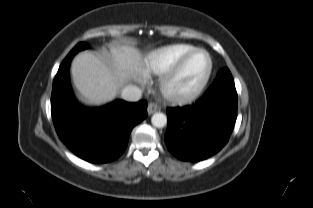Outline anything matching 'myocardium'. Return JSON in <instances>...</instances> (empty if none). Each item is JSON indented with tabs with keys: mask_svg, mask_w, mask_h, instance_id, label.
<instances>
[{
	"mask_svg": "<svg viewBox=\"0 0 313 208\" xmlns=\"http://www.w3.org/2000/svg\"><path fill=\"white\" fill-rule=\"evenodd\" d=\"M204 54L207 58L206 69L198 83L190 89H180L176 86L186 65L197 54ZM213 63L209 53L203 49H195L185 55L177 65L169 72L165 73L159 82V91L164 99L173 103H188L200 96L205 89L212 73Z\"/></svg>",
	"mask_w": 313,
	"mask_h": 208,
	"instance_id": "myocardium-1",
	"label": "myocardium"
}]
</instances>
